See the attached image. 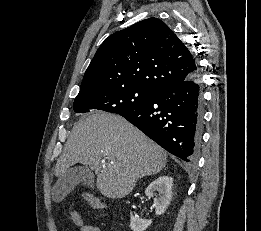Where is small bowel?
Returning <instances> with one entry per match:
<instances>
[{
	"mask_svg": "<svg viewBox=\"0 0 261 231\" xmlns=\"http://www.w3.org/2000/svg\"><path fill=\"white\" fill-rule=\"evenodd\" d=\"M70 213L75 225L80 227L79 231H101L99 227L84 225L81 216L77 212L71 210Z\"/></svg>",
	"mask_w": 261,
	"mask_h": 231,
	"instance_id": "obj_1",
	"label": "small bowel"
}]
</instances>
